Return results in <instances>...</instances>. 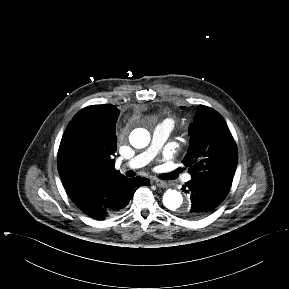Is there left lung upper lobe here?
Instances as JSON below:
<instances>
[{
  "label": "left lung upper lobe",
  "instance_id": "5c2ea615",
  "mask_svg": "<svg viewBox=\"0 0 289 289\" xmlns=\"http://www.w3.org/2000/svg\"><path fill=\"white\" fill-rule=\"evenodd\" d=\"M189 134L190 147L183 163L189 167L192 179L231 187L238 153L223 117L214 109L200 105Z\"/></svg>",
  "mask_w": 289,
  "mask_h": 289
}]
</instances>
